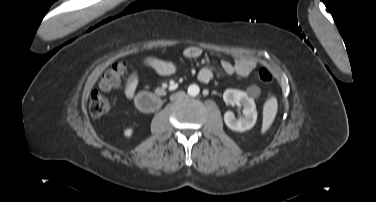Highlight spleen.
I'll return each instance as SVG.
<instances>
[{"mask_svg": "<svg viewBox=\"0 0 376 202\" xmlns=\"http://www.w3.org/2000/svg\"><path fill=\"white\" fill-rule=\"evenodd\" d=\"M277 100L272 97L266 101L263 110L262 132H265L272 124L277 113Z\"/></svg>", "mask_w": 376, "mask_h": 202, "instance_id": "spleen-1", "label": "spleen"}]
</instances>
